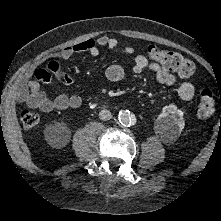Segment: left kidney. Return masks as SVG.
Instances as JSON below:
<instances>
[{
    "label": "left kidney",
    "instance_id": "obj_1",
    "mask_svg": "<svg viewBox=\"0 0 221 221\" xmlns=\"http://www.w3.org/2000/svg\"><path fill=\"white\" fill-rule=\"evenodd\" d=\"M184 112L173 104L163 107L156 119L157 131L164 137L175 139L184 129Z\"/></svg>",
    "mask_w": 221,
    "mask_h": 221
}]
</instances>
